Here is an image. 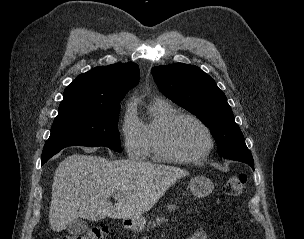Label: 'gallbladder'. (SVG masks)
<instances>
[{
	"instance_id": "obj_1",
	"label": "gallbladder",
	"mask_w": 304,
	"mask_h": 239,
	"mask_svg": "<svg viewBox=\"0 0 304 239\" xmlns=\"http://www.w3.org/2000/svg\"><path fill=\"white\" fill-rule=\"evenodd\" d=\"M88 229V223L81 218H77L69 223L67 230L72 235H81Z\"/></svg>"
}]
</instances>
